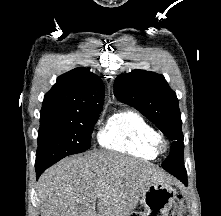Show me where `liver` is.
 <instances>
[{
	"label": "liver",
	"mask_w": 221,
	"mask_h": 216,
	"mask_svg": "<svg viewBox=\"0 0 221 216\" xmlns=\"http://www.w3.org/2000/svg\"><path fill=\"white\" fill-rule=\"evenodd\" d=\"M168 180L159 167L132 157L101 151L76 155L40 177L41 216H129L148 186Z\"/></svg>",
	"instance_id": "6515ba94"
}]
</instances>
